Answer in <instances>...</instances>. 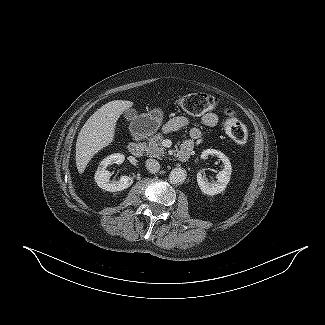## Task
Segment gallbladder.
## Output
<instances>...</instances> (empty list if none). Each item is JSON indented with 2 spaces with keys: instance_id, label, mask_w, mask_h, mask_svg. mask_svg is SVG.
<instances>
[{
  "instance_id": "1",
  "label": "gallbladder",
  "mask_w": 325,
  "mask_h": 325,
  "mask_svg": "<svg viewBox=\"0 0 325 325\" xmlns=\"http://www.w3.org/2000/svg\"><path fill=\"white\" fill-rule=\"evenodd\" d=\"M136 115H137V112L135 109H128L125 111L124 113V117L127 119V120H134L136 118Z\"/></svg>"
}]
</instances>
